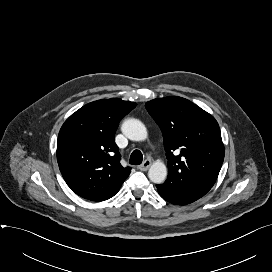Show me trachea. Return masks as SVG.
Wrapping results in <instances>:
<instances>
[{"instance_id":"1","label":"trachea","mask_w":272,"mask_h":272,"mask_svg":"<svg viewBox=\"0 0 272 272\" xmlns=\"http://www.w3.org/2000/svg\"><path fill=\"white\" fill-rule=\"evenodd\" d=\"M143 161V155L140 150H134L131 153L129 163L132 165H140Z\"/></svg>"}]
</instances>
